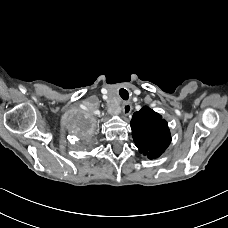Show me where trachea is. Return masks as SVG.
<instances>
[{
  "label": "trachea",
  "instance_id": "3493384b",
  "mask_svg": "<svg viewBox=\"0 0 228 228\" xmlns=\"http://www.w3.org/2000/svg\"><path fill=\"white\" fill-rule=\"evenodd\" d=\"M119 95H120V97H121L122 99H124V100H127V99L129 98V93H128V91H127L126 89H124V88H121V89L119 90Z\"/></svg>",
  "mask_w": 228,
  "mask_h": 228
}]
</instances>
